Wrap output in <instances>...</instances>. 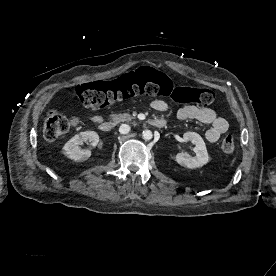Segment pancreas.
Returning a JSON list of instances; mask_svg holds the SVG:
<instances>
[{
  "mask_svg": "<svg viewBox=\"0 0 276 276\" xmlns=\"http://www.w3.org/2000/svg\"><path fill=\"white\" fill-rule=\"evenodd\" d=\"M114 124H118L120 122H129L134 119L130 114L124 113V114H112L110 116Z\"/></svg>",
  "mask_w": 276,
  "mask_h": 276,
  "instance_id": "obj_1",
  "label": "pancreas"
}]
</instances>
